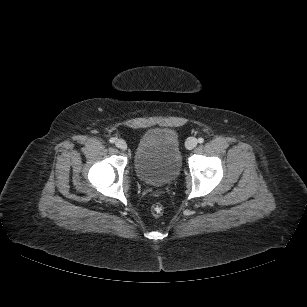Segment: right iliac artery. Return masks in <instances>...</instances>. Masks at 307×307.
I'll use <instances>...</instances> for the list:
<instances>
[{"instance_id": "obj_1", "label": "right iliac artery", "mask_w": 307, "mask_h": 307, "mask_svg": "<svg viewBox=\"0 0 307 307\" xmlns=\"http://www.w3.org/2000/svg\"><path fill=\"white\" fill-rule=\"evenodd\" d=\"M109 141H110V143H114L115 142V138H110Z\"/></svg>"}]
</instances>
